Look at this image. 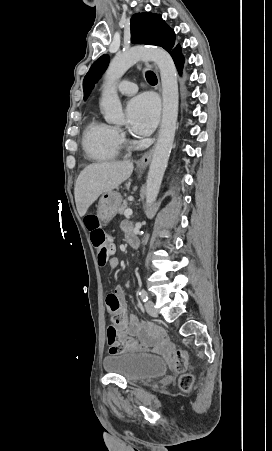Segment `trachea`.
Returning a JSON list of instances; mask_svg holds the SVG:
<instances>
[{
  "label": "trachea",
  "instance_id": "trachea-1",
  "mask_svg": "<svg viewBox=\"0 0 272 451\" xmlns=\"http://www.w3.org/2000/svg\"><path fill=\"white\" fill-rule=\"evenodd\" d=\"M146 79L150 84H156L157 83V78L155 76V73L153 72H146Z\"/></svg>",
  "mask_w": 272,
  "mask_h": 451
}]
</instances>
